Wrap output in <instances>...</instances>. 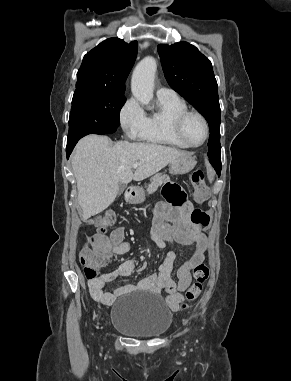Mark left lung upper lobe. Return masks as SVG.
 I'll return each mask as SVG.
<instances>
[{"label":"left lung upper lobe","instance_id":"5c2ea615","mask_svg":"<svg viewBox=\"0 0 291 381\" xmlns=\"http://www.w3.org/2000/svg\"><path fill=\"white\" fill-rule=\"evenodd\" d=\"M158 52L165 78L209 123V159H221L220 105L210 60L187 42L160 44Z\"/></svg>","mask_w":291,"mask_h":381}]
</instances>
